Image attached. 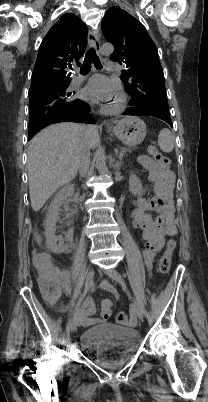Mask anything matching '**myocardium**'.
Returning <instances> with one entry per match:
<instances>
[{
    "mask_svg": "<svg viewBox=\"0 0 208 402\" xmlns=\"http://www.w3.org/2000/svg\"><path fill=\"white\" fill-rule=\"evenodd\" d=\"M118 102H124V99H123V98H119V99H118Z\"/></svg>",
    "mask_w": 208,
    "mask_h": 402,
    "instance_id": "obj_1",
    "label": "myocardium"
}]
</instances>
